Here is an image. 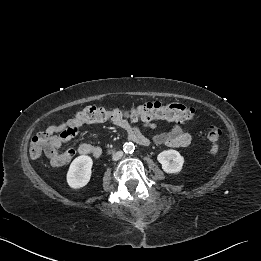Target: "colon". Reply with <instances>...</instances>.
I'll list each match as a JSON object with an SVG mask.
<instances>
[{
    "instance_id": "colon-1",
    "label": "colon",
    "mask_w": 261,
    "mask_h": 261,
    "mask_svg": "<svg viewBox=\"0 0 261 261\" xmlns=\"http://www.w3.org/2000/svg\"><path fill=\"white\" fill-rule=\"evenodd\" d=\"M196 111L192 107L179 103L162 104L160 102H147L139 106H126L113 109L101 107H86L78 111L74 118L83 124L117 121L119 119H130L132 121L141 120L150 122L157 119L187 121L195 118ZM78 131V127L68 128L60 134L62 141L73 138ZM221 130L215 126H210L207 130V139L210 144L209 152L216 155L219 152V140ZM48 143V135L43 132L35 135L29 146V153L32 157H39L45 150Z\"/></svg>"
}]
</instances>
